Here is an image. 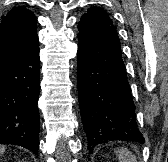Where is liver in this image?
<instances>
[{
  "instance_id": "liver-1",
  "label": "liver",
  "mask_w": 168,
  "mask_h": 162,
  "mask_svg": "<svg viewBox=\"0 0 168 162\" xmlns=\"http://www.w3.org/2000/svg\"><path fill=\"white\" fill-rule=\"evenodd\" d=\"M4 149H5V147L0 145V154H2L4 152Z\"/></svg>"
}]
</instances>
